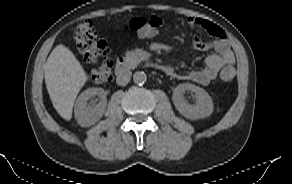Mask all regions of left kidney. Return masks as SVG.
I'll list each match as a JSON object with an SVG mask.
<instances>
[{
  "label": "left kidney",
  "mask_w": 292,
  "mask_h": 184,
  "mask_svg": "<svg viewBox=\"0 0 292 184\" xmlns=\"http://www.w3.org/2000/svg\"><path fill=\"white\" fill-rule=\"evenodd\" d=\"M191 91L195 94V105L185 101L183 94ZM176 109L188 119H200L210 116L213 113V102L209 94L201 87L190 83L179 84L172 95Z\"/></svg>",
  "instance_id": "5707ae66"
}]
</instances>
